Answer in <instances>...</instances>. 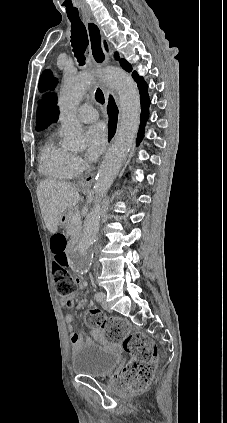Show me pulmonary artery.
Listing matches in <instances>:
<instances>
[{
	"label": "pulmonary artery",
	"instance_id": "1",
	"mask_svg": "<svg viewBox=\"0 0 227 423\" xmlns=\"http://www.w3.org/2000/svg\"><path fill=\"white\" fill-rule=\"evenodd\" d=\"M97 110L90 104L81 105L76 113V118L79 122L85 124H92L98 120Z\"/></svg>",
	"mask_w": 227,
	"mask_h": 423
}]
</instances>
